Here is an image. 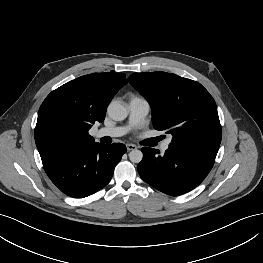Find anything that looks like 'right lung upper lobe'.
Masks as SVG:
<instances>
[{
  "label": "right lung upper lobe",
  "instance_id": "obj_1",
  "mask_svg": "<svg viewBox=\"0 0 263 263\" xmlns=\"http://www.w3.org/2000/svg\"><path fill=\"white\" fill-rule=\"evenodd\" d=\"M126 83L123 73L88 74L52 91L39 109L35 127L43 166L71 147L93 142L89 129L104 120L109 102Z\"/></svg>",
  "mask_w": 263,
  "mask_h": 263
}]
</instances>
